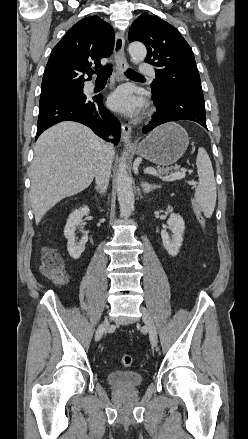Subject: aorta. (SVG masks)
I'll return each mask as SVG.
<instances>
[{
  "label": "aorta",
  "instance_id": "762f6f07",
  "mask_svg": "<svg viewBox=\"0 0 248 439\" xmlns=\"http://www.w3.org/2000/svg\"><path fill=\"white\" fill-rule=\"evenodd\" d=\"M131 61L138 64L144 61L147 50L144 44L133 42L128 47ZM128 150L123 151L119 162V169L116 178L117 196L119 202L120 216L128 218L134 210L135 197L132 187V180L127 173L126 157Z\"/></svg>",
  "mask_w": 248,
  "mask_h": 439
}]
</instances>
